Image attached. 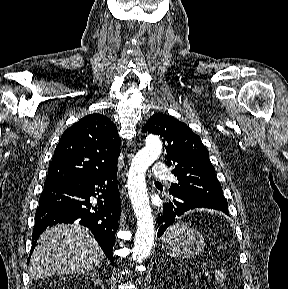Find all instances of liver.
<instances>
[{
    "instance_id": "6515ba94",
    "label": "liver",
    "mask_w": 288,
    "mask_h": 289,
    "mask_svg": "<svg viewBox=\"0 0 288 289\" xmlns=\"http://www.w3.org/2000/svg\"><path fill=\"white\" fill-rule=\"evenodd\" d=\"M104 253L91 233L78 224H57L39 237L30 258L33 279L93 270Z\"/></svg>"
}]
</instances>
